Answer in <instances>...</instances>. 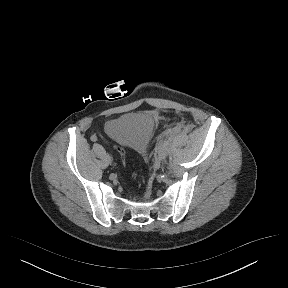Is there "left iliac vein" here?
<instances>
[{
    "label": "left iliac vein",
    "mask_w": 288,
    "mask_h": 288,
    "mask_svg": "<svg viewBox=\"0 0 288 288\" xmlns=\"http://www.w3.org/2000/svg\"><path fill=\"white\" fill-rule=\"evenodd\" d=\"M166 159V154L163 152L160 155V161H164Z\"/></svg>",
    "instance_id": "4c4485c4"
}]
</instances>
